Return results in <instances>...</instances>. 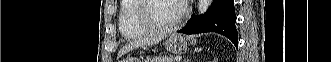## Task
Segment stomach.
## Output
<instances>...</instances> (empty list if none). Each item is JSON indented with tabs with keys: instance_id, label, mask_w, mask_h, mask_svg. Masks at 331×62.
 Segmentation results:
<instances>
[{
	"instance_id": "obj_1",
	"label": "stomach",
	"mask_w": 331,
	"mask_h": 62,
	"mask_svg": "<svg viewBox=\"0 0 331 62\" xmlns=\"http://www.w3.org/2000/svg\"><path fill=\"white\" fill-rule=\"evenodd\" d=\"M196 40L190 37H184L180 34H172L166 41L165 47L169 52L182 54L186 52L190 45H195ZM122 62H141L139 60L126 59Z\"/></svg>"
}]
</instances>
